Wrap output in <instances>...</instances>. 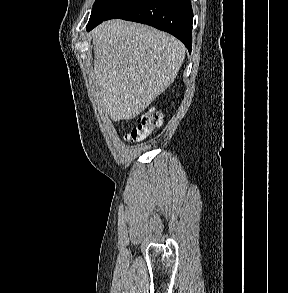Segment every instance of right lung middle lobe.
<instances>
[{
    "mask_svg": "<svg viewBox=\"0 0 288 293\" xmlns=\"http://www.w3.org/2000/svg\"><path fill=\"white\" fill-rule=\"evenodd\" d=\"M125 1L126 0H96L86 28H91L103 22Z\"/></svg>",
    "mask_w": 288,
    "mask_h": 293,
    "instance_id": "1",
    "label": "right lung middle lobe"
}]
</instances>
